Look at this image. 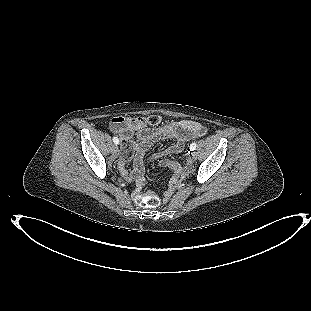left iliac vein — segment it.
Segmentation results:
<instances>
[{"label": "left iliac vein", "mask_w": 311, "mask_h": 311, "mask_svg": "<svg viewBox=\"0 0 311 311\" xmlns=\"http://www.w3.org/2000/svg\"><path fill=\"white\" fill-rule=\"evenodd\" d=\"M190 159L193 161L196 159V153L194 151L190 152Z\"/></svg>", "instance_id": "left-iliac-vein-1"}]
</instances>
